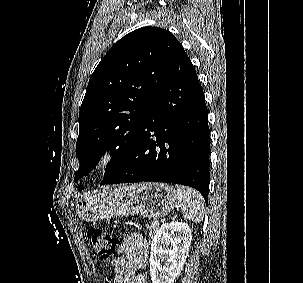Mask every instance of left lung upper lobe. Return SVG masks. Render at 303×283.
Here are the masks:
<instances>
[{"label":"left lung upper lobe","mask_w":303,"mask_h":283,"mask_svg":"<svg viewBox=\"0 0 303 283\" xmlns=\"http://www.w3.org/2000/svg\"><path fill=\"white\" fill-rule=\"evenodd\" d=\"M182 50L169 31L142 27L107 52L91 75L79 112L76 182L95 168L108 150L113 158L101 184L122 168L152 97Z\"/></svg>","instance_id":"5c2ea615"}]
</instances>
